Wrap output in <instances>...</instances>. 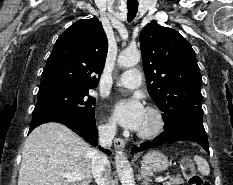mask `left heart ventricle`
Segmentation results:
<instances>
[{
	"label": "left heart ventricle",
	"instance_id": "b2bd125f",
	"mask_svg": "<svg viewBox=\"0 0 233 185\" xmlns=\"http://www.w3.org/2000/svg\"><path fill=\"white\" fill-rule=\"evenodd\" d=\"M155 124L154 117L149 113L145 112L144 120L142 122V125L138 131H147L150 130Z\"/></svg>",
	"mask_w": 233,
	"mask_h": 185
}]
</instances>
